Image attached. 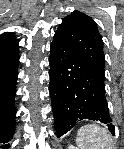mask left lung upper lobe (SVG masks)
I'll return each mask as SVG.
<instances>
[{
    "mask_svg": "<svg viewBox=\"0 0 124 149\" xmlns=\"http://www.w3.org/2000/svg\"><path fill=\"white\" fill-rule=\"evenodd\" d=\"M58 33L94 67L104 72L103 40L95 22L86 14L74 11L59 25Z\"/></svg>",
    "mask_w": 124,
    "mask_h": 149,
    "instance_id": "1",
    "label": "left lung upper lobe"
}]
</instances>
